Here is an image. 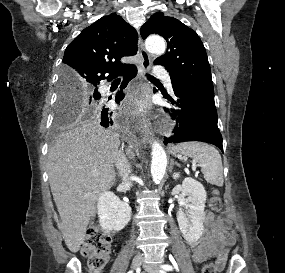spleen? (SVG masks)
I'll use <instances>...</instances> for the list:
<instances>
[{
	"instance_id": "obj_1",
	"label": "spleen",
	"mask_w": 285,
	"mask_h": 273,
	"mask_svg": "<svg viewBox=\"0 0 285 273\" xmlns=\"http://www.w3.org/2000/svg\"><path fill=\"white\" fill-rule=\"evenodd\" d=\"M175 153L183 155L182 159L192 158L198 163L204 179L213 185H223V166L219 152L213 147L200 142H183L172 148Z\"/></svg>"
}]
</instances>
